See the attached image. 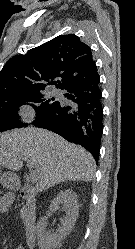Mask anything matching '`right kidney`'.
Masks as SVG:
<instances>
[{
  "mask_svg": "<svg viewBox=\"0 0 135 249\" xmlns=\"http://www.w3.org/2000/svg\"><path fill=\"white\" fill-rule=\"evenodd\" d=\"M62 205L66 215L61 219L59 229L50 233L46 231L48 217H41L37 226V239L40 249H56L60 242L70 234L78 217L77 195L72 190L60 192L49 205V211L53 212Z\"/></svg>",
  "mask_w": 135,
  "mask_h": 249,
  "instance_id": "right-kidney-1",
  "label": "right kidney"
}]
</instances>
